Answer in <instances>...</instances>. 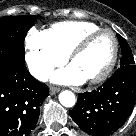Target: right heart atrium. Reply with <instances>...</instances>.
I'll return each instance as SVG.
<instances>
[{"instance_id":"obj_1","label":"right heart atrium","mask_w":136,"mask_h":136,"mask_svg":"<svg viewBox=\"0 0 136 136\" xmlns=\"http://www.w3.org/2000/svg\"><path fill=\"white\" fill-rule=\"evenodd\" d=\"M25 48L28 69L40 80L66 60V56L50 42L44 31L30 30L25 38Z\"/></svg>"}]
</instances>
